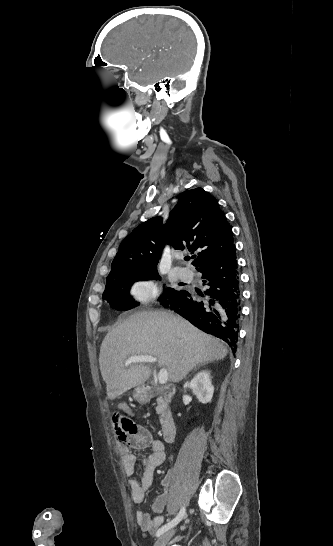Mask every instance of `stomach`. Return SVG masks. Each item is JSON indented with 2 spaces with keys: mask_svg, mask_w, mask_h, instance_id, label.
Instances as JSON below:
<instances>
[{
  "mask_svg": "<svg viewBox=\"0 0 333 546\" xmlns=\"http://www.w3.org/2000/svg\"><path fill=\"white\" fill-rule=\"evenodd\" d=\"M133 398L139 403H144L148 399L147 392L143 386H137L133 391Z\"/></svg>",
  "mask_w": 333,
  "mask_h": 546,
  "instance_id": "obj_1",
  "label": "stomach"
}]
</instances>
